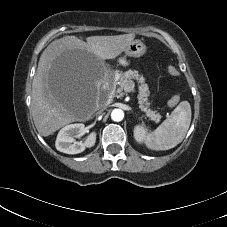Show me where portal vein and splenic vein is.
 Here are the masks:
<instances>
[{
    "instance_id": "portal-vein-and-splenic-vein-1",
    "label": "portal vein and splenic vein",
    "mask_w": 227,
    "mask_h": 227,
    "mask_svg": "<svg viewBox=\"0 0 227 227\" xmlns=\"http://www.w3.org/2000/svg\"><path fill=\"white\" fill-rule=\"evenodd\" d=\"M125 92H127V93L134 92V85L125 88Z\"/></svg>"
}]
</instances>
